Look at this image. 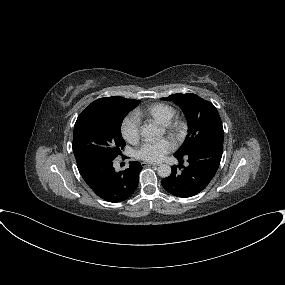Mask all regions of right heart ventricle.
I'll return each instance as SVG.
<instances>
[{"mask_svg": "<svg viewBox=\"0 0 285 285\" xmlns=\"http://www.w3.org/2000/svg\"><path fill=\"white\" fill-rule=\"evenodd\" d=\"M139 120L141 118L153 119L158 123L165 124L175 115L173 106L166 103H153L143 109H138L134 113Z\"/></svg>", "mask_w": 285, "mask_h": 285, "instance_id": "obj_1", "label": "right heart ventricle"}]
</instances>
